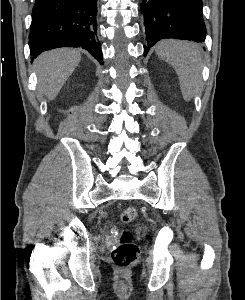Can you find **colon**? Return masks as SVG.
I'll return each mask as SVG.
<instances>
[{
    "mask_svg": "<svg viewBox=\"0 0 245 300\" xmlns=\"http://www.w3.org/2000/svg\"><path fill=\"white\" fill-rule=\"evenodd\" d=\"M136 218L137 211L134 207L124 208L120 213V221L124 224L132 223ZM138 256L139 250L134 243L133 234L128 230L124 231L111 253L113 264L120 269H127L137 260Z\"/></svg>",
    "mask_w": 245,
    "mask_h": 300,
    "instance_id": "5ec220e1",
    "label": "colon"
}]
</instances>
